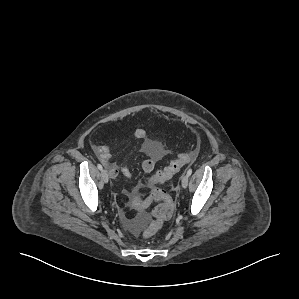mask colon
I'll return each instance as SVG.
<instances>
[{
	"label": "colon",
	"instance_id": "obj_1",
	"mask_svg": "<svg viewBox=\"0 0 299 299\" xmlns=\"http://www.w3.org/2000/svg\"><path fill=\"white\" fill-rule=\"evenodd\" d=\"M195 151H189L179 154L172 160L168 166L157 171L146 182L145 185L152 187V191L148 197L142 199L138 195H133L131 198V206L136 210L146 209L151 203L159 202V205L153 210L154 220L143 230L139 231L144 237H149L155 234L163 225V223L170 219L174 212V203L169 194L157 187L158 184L169 180L180 169L192 161L195 157Z\"/></svg>",
	"mask_w": 299,
	"mask_h": 299
}]
</instances>
